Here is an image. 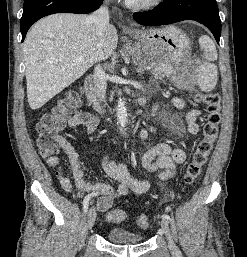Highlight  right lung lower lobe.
Here are the masks:
<instances>
[{
  "label": "right lung lower lobe",
  "instance_id": "obj_1",
  "mask_svg": "<svg viewBox=\"0 0 247 257\" xmlns=\"http://www.w3.org/2000/svg\"><path fill=\"white\" fill-rule=\"evenodd\" d=\"M102 0H25L21 18L22 42L28 29L40 18L54 13L92 12L100 7Z\"/></svg>",
  "mask_w": 247,
  "mask_h": 257
}]
</instances>
